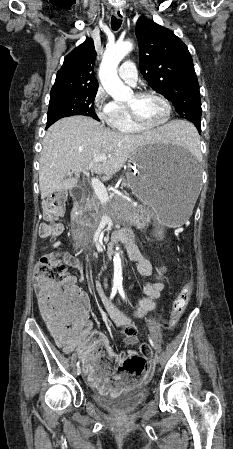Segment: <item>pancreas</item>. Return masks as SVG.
Instances as JSON below:
<instances>
[{"label":"pancreas","mask_w":233,"mask_h":449,"mask_svg":"<svg viewBox=\"0 0 233 449\" xmlns=\"http://www.w3.org/2000/svg\"><path fill=\"white\" fill-rule=\"evenodd\" d=\"M85 210L90 212L92 228H96L104 214L111 213L112 216L120 217L124 211L125 218H129L130 222L139 228L148 226L153 217L150 209L144 206L134 207L126 199L120 196H113L108 205L104 206L96 194L89 196Z\"/></svg>","instance_id":"1"}]
</instances>
